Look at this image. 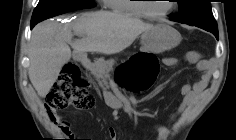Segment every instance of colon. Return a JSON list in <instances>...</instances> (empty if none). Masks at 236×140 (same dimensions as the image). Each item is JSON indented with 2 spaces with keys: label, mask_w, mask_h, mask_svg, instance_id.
<instances>
[{
  "label": "colon",
  "mask_w": 236,
  "mask_h": 140,
  "mask_svg": "<svg viewBox=\"0 0 236 140\" xmlns=\"http://www.w3.org/2000/svg\"><path fill=\"white\" fill-rule=\"evenodd\" d=\"M158 71V61L154 57L138 55L120 66L117 77L126 89L139 93L152 86ZM89 88L79 66L75 63L66 64L48 94L47 110L51 119L56 120L57 112L70 106L83 110L91 109L95 98Z\"/></svg>",
  "instance_id": "obj_1"
}]
</instances>
